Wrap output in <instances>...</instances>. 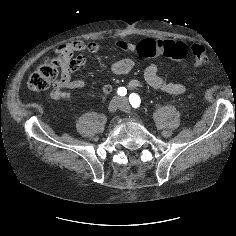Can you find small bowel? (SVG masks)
Segmentation results:
<instances>
[{
	"label": "small bowel",
	"mask_w": 236,
	"mask_h": 236,
	"mask_svg": "<svg viewBox=\"0 0 236 236\" xmlns=\"http://www.w3.org/2000/svg\"><path fill=\"white\" fill-rule=\"evenodd\" d=\"M150 40L154 44L158 41L153 39ZM145 41V40H143ZM142 41V42H143ZM135 44L125 40H119L117 42V47L125 52H137L139 54V46L142 43ZM68 50L72 53H77L76 57H72L69 65L63 71L60 80L56 83L54 88L51 90L49 96L53 100L67 99L72 96V91L82 90L86 88V82L82 79H72L74 72L79 70L86 62L85 52H88L94 56L99 53V45L95 42L85 43L82 41H72L66 45ZM135 62L131 57H124L114 62L110 66V72L115 75H123L128 73L134 67ZM159 67L156 64H150L146 67L144 71V81L145 83L155 90H159L168 94L181 95L185 93L186 87L181 83L167 82L159 75ZM144 86L141 80L133 79L128 83L129 89H140ZM113 87L111 84H104L102 87V92L108 95L112 92Z\"/></svg>",
	"instance_id": "c3829d8e"
}]
</instances>
